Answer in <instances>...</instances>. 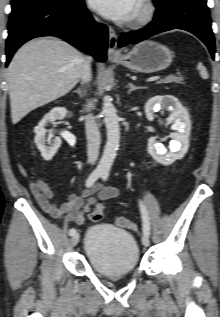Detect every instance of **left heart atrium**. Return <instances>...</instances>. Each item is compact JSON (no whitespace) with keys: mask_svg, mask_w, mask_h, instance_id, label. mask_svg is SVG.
I'll return each mask as SVG.
<instances>
[{"mask_svg":"<svg viewBox=\"0 0 220 317\" xmlns=\"http://www.w3.org/2000/svg\"><path fill=\"white\" fill-rule=\"evenodd\" d=\"M139 0H89L90 6L103 16L116 20L127 21L135 14Z\"/></svg>","mask_w":220,"mask_h":317,"instance_id":"obj_1","label":"left heart atrium"}]
</instances>
